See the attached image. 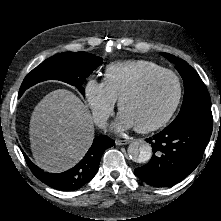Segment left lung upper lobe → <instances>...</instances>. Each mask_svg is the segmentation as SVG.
Masks as SVG:
<instances>
[{
    "instance_id": "1",
    "label": "left lung upper lobe",
    "mask_w": 221,
    "mask_h": 221,
    "mask_svg": "<svg viewBox=\"0 0 221 221\" xmlns=\"http://www.w3.org/2000/svg\"><path fill=\"white\" fill-rule=\"evenodd\" d=\"M161 55L175 64L184 81V100L178 116L169 127L193 114L212 116L210 95L198 73L180 58L168 53H161Z\"/></svg>"
}]
</instances>
